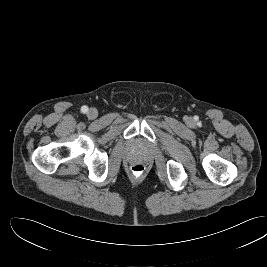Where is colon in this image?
<instances>
[{
    "instance_id": "colon-1",
    "label": "colon",
    "mask_w": 267,
    "mask_h": 267,
    "mask_svg": "<svg viewBox=\"0 0 267 267\" xmlns=\"http://www.w3.org/2000/svg\"><path fill=\"white\" fill-rule=\"evenodd\" d=\"M145 167L141 163H134L131 166V172L135 177H140L144 174Z\"/></svg>"
}]
</instances>
